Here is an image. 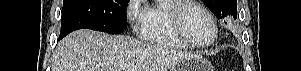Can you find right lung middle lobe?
<instances>
[{
    "instance_id": "1",
    "label": "right lung middle lobe",
    "mask_w": 301,
    "mask_h": 71,
    "mask_svg": "<svg viewBox=\"0 0 301 71\" xmlns=\"http://www.w3.org/2000/svg\"><path fill=\"white\" fill-rule=\"evenodd\" d=\"M129 0H63L61 33L82 28L110 34L126 29V7Z\"/></svg>"
}]
</instances>
